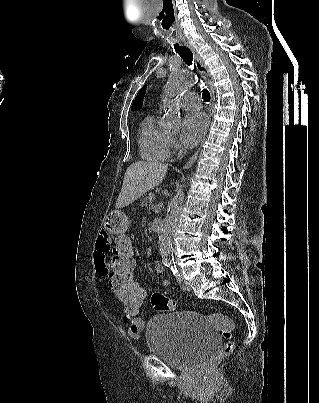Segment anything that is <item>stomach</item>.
Masks as SVG:
<instances>
[{
	"label": "stomach",
	"mask_w": 319,
	"mask_h": 403,
	"mask_svg": "<svg viewBox=\"0 0 319 403\" xmlns=\"http://www.w3.org/2000/svg\"><path fill=\"white\" fill-rule=\"evenodd\" d=\"M130 224L127 215L119 210L110 212L104 221V228L110 234H124Z\"/></svg>",
	"instance_id": "stomach-1"
}]
</instances>
